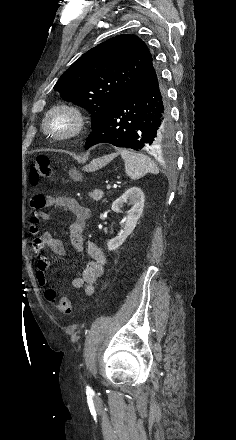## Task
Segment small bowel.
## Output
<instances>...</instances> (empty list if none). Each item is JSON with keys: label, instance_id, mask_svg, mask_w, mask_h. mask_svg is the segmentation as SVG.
Returning a JSON list of instances; mask_svg holds the SVG:
<instances>
[{"label": "small bowel", "instance_id": "small-bowel-1", "mask_svg": "<svg viewBox=\"0 0 236 440\" xmlns=\"http://www.w3.org/2000/svg\"><path fill=\"white\" fill-rule=\"evenodd\" d=\"M33 210L34 222L29 226V232L33 236L32 247L36 253L35 274L40 287L47 285L46 270L50 264L47 252L58 256L65 255L63 242L54 238L44 227L48 215L44 208H55L68 211L73 214L74 220L70 225V242L75 250L85 251L89 261L85 264L80 276L70 281L73 289L83 288L87 296L95 292V282L104 273L106 256L103 251L93 242L85 241L84 233L86 220L90 216L88 208L82 206L71 196H48L36 194L30 200ZM40 224V225H38Z\"/></svg>", "mask_w": 236, "mask_h": 440}]
</instances>
